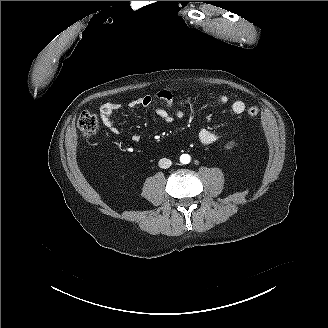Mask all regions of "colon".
Here are the masks:
<instances>
[{"label":"colon","instance_id":"colon-1","mask_svg":"<svg viewBox=\"0 0 328 328\" xmlns=\"http://www.w3.org/2000/svg\"><path fill=\"white\" fill-rule=\"evenodd\" d=\"M258 114L259 109L256 106H251L247 110V115L251 118L258 116ZM78 128L84 137H91L98 129L97 117L90 112H82L78 118Z\"/></svg>","mask_w":328,"mask_h":328}]
</instances>
